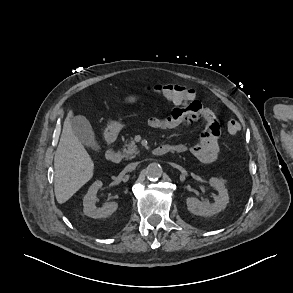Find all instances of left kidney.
<instances>
[{"label": "left kidney", "instance_id": "5707ae66", "mask_svg": "<svg viewBox=\"0 0 293 293\" xmlns=\"http://www.w3.org/2000/svg\"><path fill=\"white\" fill-rule=\"evenodd\" d=\"M209 184L210 186L214 187L219 194L214 196L213 203L201 202L197 198L188 197L186 199V204L187 209L191 213L203 217H208L225 209L229 202V196L224 185V180L212 177L209 180Z\"/></svg>", "mask_w": 293, "mask_h": 293}]
</instances>
